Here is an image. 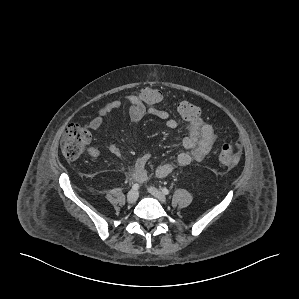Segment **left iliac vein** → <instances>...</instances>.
Returning a JSON list of instances; mask_svg holds the SVG:
<instances>
[{
	"instance_id": "obj_1",
	"label": "left iliac vein",
	"mask_w": 299,
	"mask_h": 299,
	"mask_svg": "<svg viewBox=\"0 0 299 299\" xmlns=\"http://www.w3.org/2000/svg\"><path fill=\"white\" fill-rule=\"evenodd\" d=\"M148 190L160 202L165 203L167 201L166 196L160 190H158L157 188L150 187Z\"/></svg>"
}]
</instances>
